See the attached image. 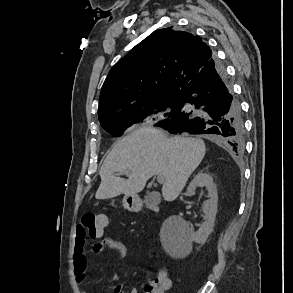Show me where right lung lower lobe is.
Wrapping results in <instances>:
<instances>
[{"label":"right lung lower lobe","mask_w":293,"mask_h":293,"mask_svg":"<svg viewBox=\"0 0 293 293\" xmlns=\"http://www.w3.org/2000/svg\"><path fill=\"white\" fill-rule=\"evenodd\" d=\"M174 112L155 126L171 133L206 134L235 153L244 150V124L239 103L227 83L225 70L214 57L182 89Z\"/></svg>","instance_id":"right-lung-lower-lobe-1"}]
</instances>
